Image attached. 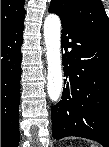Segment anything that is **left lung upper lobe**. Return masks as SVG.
Returning a JSON list of instances; mask_svg holds the SVG:
<instances>
[{
  "mask_svg": "<svg viewBox=\"0 0 109 147\" xmlns=\"http://www.w3.org/2000/svg\"><path fill=\"white\" fill-rule=\"evenodd\" d=\"M49 10L76 25L109 39V20L101 0H52ZM79 73L67 77L71 90L80 91Z\"/></svg>",
  "mask_w": 109,
  "mask_h": 147,
  "instance_id": "left-lung-upper-lobe-1",
  "label": "left lung upper lobe"
}]
</instances>
